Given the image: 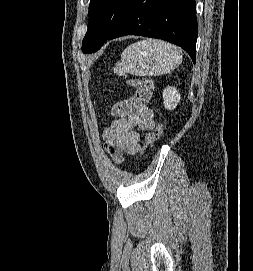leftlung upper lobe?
Wrapping results in <instances>:
<instances>
[{"label":"left lung upper lobe","instance_id":"1","mask_svg":"<svg viewBox=\"0 0 253 271\" xmlns=\"http://www.w3.org/2000/svg\"><path fill=\"white\" fill-rule=\"evenodd\" d=\"M132 5V0H91L88 30L82 51L93 53L100 49Z\"/></svg>","mask_w":253,"mask_h":271}]
</instances>
